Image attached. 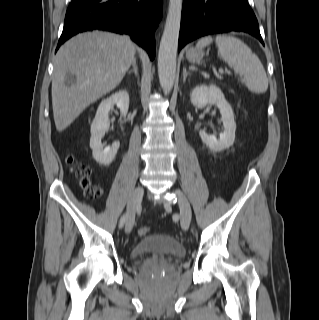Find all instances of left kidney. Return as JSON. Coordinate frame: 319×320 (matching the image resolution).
Instances as JSON below:
<instances>
[{"mask_svg":"<svg viewBox=\"0 0 319 320\" xmlns=\"http://www.w3.org/2000/svg\"><path fill=\"white\" fill-rule=\"evenodd\" d=\"M191 103L197 108L206 105H216L221 114L224 131L220 134V139L208 135L205 130H200L199 135L204 144L212 151L220 152L228 149L235 140L236 123L230 104L226 101L221 89L216 85L201 84L196 86L191 93Z\"/></svg>","mask_w":319,"mask_h":320,"instance_id":"1","label":"left kidney"}]
</instances>
